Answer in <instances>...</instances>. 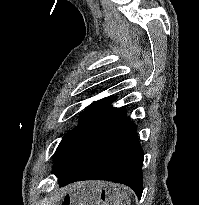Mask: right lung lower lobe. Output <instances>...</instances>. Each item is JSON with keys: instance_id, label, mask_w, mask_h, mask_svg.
I'll return each mask as SVG.
<instances>
[{"instance_id": "right-lung-lower-lobe-1", "label": "right lung lower lobe", "mask_w": 199, "mask_h": 205, "mask_svg": "<svg viewBox=\"0 0 199 205\" xmlns=\"http://www.w3.org/2000/svg\"><path fill=\"white\" fill-rule=\"evenodd\" d=\"M136 131L133 121H125L104 142L56 175L60 187L82 180H107L129 186L140 199L143 192V150Z\"/></svg>"}]
</instances>
